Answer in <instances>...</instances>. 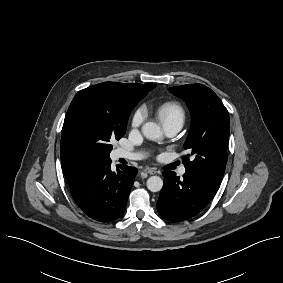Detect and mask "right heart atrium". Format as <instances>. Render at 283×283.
Here are the masks:
<instances>
[{"mask_svg":"<svg viewBox=\"0 0 283 283\" xmlns=\"http://www.w3.org/2000/svg\"><path fill=\"white\" fill-rule=\"evenodd\" d=\"M146 113L143 107H139L135 110L131 118V126L133 129L139 128L144 122Z\"/></svg>","mask_w":283,"mask_h":283,"instance_id":"right-heart-atrium-1","label":"right heart atrium"}]
</instances>
